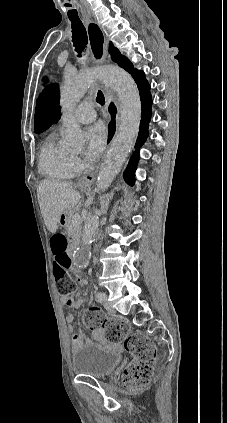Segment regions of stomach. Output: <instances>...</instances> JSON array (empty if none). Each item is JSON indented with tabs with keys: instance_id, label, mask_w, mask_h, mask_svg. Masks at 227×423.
<instances>
[{
	"instance_id": "obj_1",
	"label": "stomach",
	"mask_w": 227,
	"mask_h": 423,
	"mask_svg": "<svg viewBox=\"0 0 227 423\" xmlns=\"http://www.w3.org/2000/svg\"><path fill=\"white\" fill-rule=\"evenodd\" d=\"M90 182H93V180H90ZM78 186H79V188H81V190H83V192H85V190H89L91 184H90V186H82V184H80V182H79Z\"/></svg>"
}]
</instances>
